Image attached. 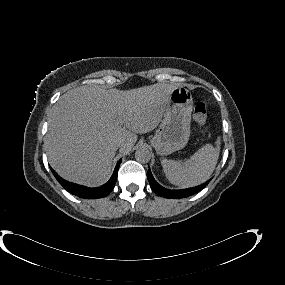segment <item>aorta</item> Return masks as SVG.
<instances>
[{
	"instance_id": "762f6f07",
	"label": "aorta",
	"mask_w": 285,
	"mask_h": 285,
	"mask_svg": "<svg viewBox=\"0 0 285 285\" xmlns=\"http://www.w3.org/2000/svg\"><path fill=\"white\" fill-rule=\"evenodd\" d=\"M135 159L140 163H148L151 159V152L147 148H139L135 152Z\"/></svg>"
}]
</instances>
